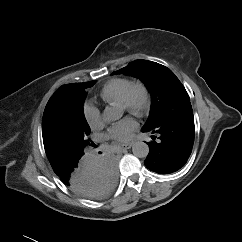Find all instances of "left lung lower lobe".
<instances>
[{
    "mask_svg": "<svg viewBox=\"0 0 242 242\" xmlns=\"http://www.w3.org/2000/svg\"><path fill=\"white\" fill-rule=\"evenodd\" d=\"M142 131L159 136L158 143H149L150 152L144 161L146 167L159 174L176 172L187 162L194 143L195 126L190 101L171 109Z\"/></svg>",
    "mask_w": 242,
    "mask_h": 242,
    "instance_id": "obj_1",
    "label": "left lung lower lobe"
}]
</instances>
